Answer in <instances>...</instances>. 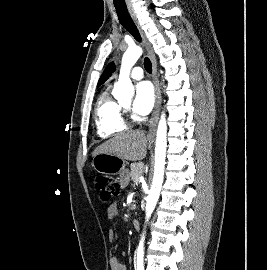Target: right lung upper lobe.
<instances>
[{"instance_id": "cb5924a9", "label": "right lung upper lobe", "mask_w": 267, "mask_h": 270, "mask_svg": "<svg viewBox=\"0 0 267 270\" xmlns=\"http://www.w3.org/2000/svg\"><path fill=\"white\" fill-rule=\"evenodd\" d=\"M114 71H115V64L111 62L102 73L101 78L99 79L98 82V86L102 85Z\"/></svg>"}]
</instances>
